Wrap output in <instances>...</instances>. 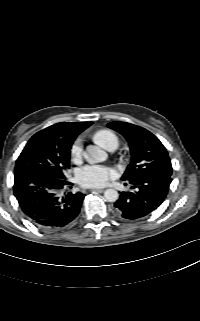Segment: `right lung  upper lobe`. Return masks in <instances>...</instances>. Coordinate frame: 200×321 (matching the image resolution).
I'll list each match as a JSON object with an SVG mask.
<instances>
[{
  "instance_id": "cb5924a9",
  "label": "right lung upper lobe",
  "mask_w": 200,
  "mask_h": 321,
  "mask_svg": "<svg viewBox=\"0 0 200 321\" xmlns=\"http://www.w3.org/2000/svg\"><path fill=\"white\" fill-rule=\"evenodd\" d=\"M91 124L92 122H62L49 126L45 129L56 141L72 144L76 136L88 128Z\"/></svg>"
}]
</instances>
